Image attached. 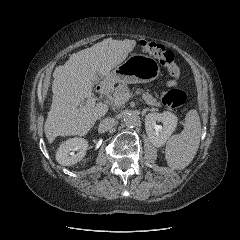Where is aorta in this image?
Wrapping results in <instances>:
<instances>
[{
    "mask_svg": "<svg viewBox=\"0 0 240 240\" xmlns=\"http://www.w3.org/2000/svg\"><path fill=\"white\" fill-rule=\"evenodd\" d=\"M124 123L126 124L127 127H135L138 123L137 116L134 115L133 113H126L123 116Z\"/></svg>",
    "mask_w": 240,
    "mask_h": 240,
    "instance_id": "obj_1",
    "label": "aorta"
}]
</instances>
